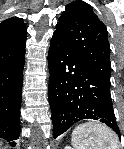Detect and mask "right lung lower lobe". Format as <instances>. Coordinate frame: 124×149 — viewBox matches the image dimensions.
Instances as JSON below:
<instances>
[{
	"label": "right lung lower lobe",
	"instance_id": "right-lung-lower-lobe-1",
	"mask_svg": "<svg viewBox=\"0 0 124 149\" xmlns=\"http://www.w3.org/2000/svg\"><path fill=\"white\" fill-rule=\"evenodd\" d=\"M26 39L0 46V137L11 146L20 134V105Z\"/></svg>",
	"mask_w": 124,
	"mask_h": 149
}]
</instances>
